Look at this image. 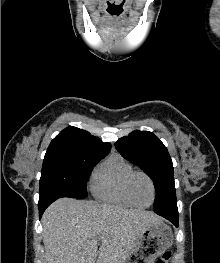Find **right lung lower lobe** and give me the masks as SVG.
I'll return each instance as SVG.
<instances>
[{
  "label": "right lung lower lobe",
  "instance_id": "1",
  "mask_svg": "<svg viewBox=\"0 0 220 263\" xmlns=\"http://www.w3.org/2000/svg\"><path fill=\"white\" fill-rule=\"evenodd\" d=\"M56 199H52L50 201H47V202H43V203H39L38 206H39V214H40V217L42 216L43 212L45 211V209L52 203L54 202Z\"/></svg>",
  "mask_w": 220,
  "mask_h": 263
}]
</instances>
